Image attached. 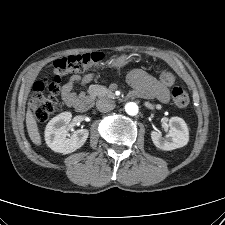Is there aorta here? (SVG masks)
I'll use <instances>...</instances> for the list:
<instances>
[{
  "label": "aorta",
  "mask_w": 225,
  "mask_h": 225,
  "mask_svg": "<svg viewBox=\"0 0 225 225\" xmlns=\"http://www.w3.org/2000/svg\"><path fill=\"white\" fill-rule=\"evenodd\" d=\"M138 105L134 102H129L125 105V111L128 115L135 116L138 113Z\"/></svg>",
  "instance_id": "obj_1"
}]
</instances>
